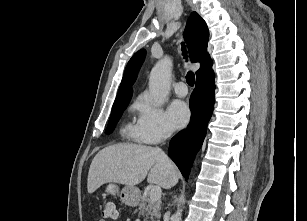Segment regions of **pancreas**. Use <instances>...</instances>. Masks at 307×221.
Returning <instances> with one entry per match:
<instances>
[{"mask_svg": "<svg viewBox=\"0 0 307 221\" xmlns=\"http://www.w3.org/2000/svg\"><path fill=\"white\" fill-rule=\"evenodd\" d=\"M161 201H152L149 193L143 194L139 204L140 214L145 217V221H160Z\"/></svg>", "mask_w": 307, "mask_h": 221, "instance_id": "pancreas-1", "label": "pancreas"}]
</instances>
